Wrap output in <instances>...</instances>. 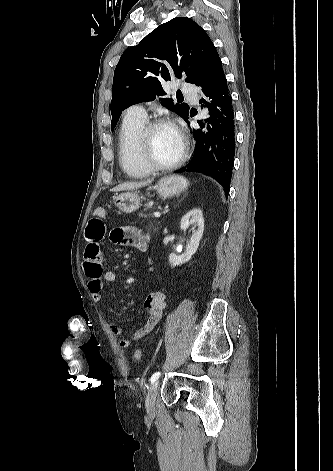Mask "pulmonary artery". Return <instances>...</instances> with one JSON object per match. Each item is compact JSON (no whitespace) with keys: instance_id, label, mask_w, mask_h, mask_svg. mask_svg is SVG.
Returning <instances> with one entry per match:
<instances>
[{"instance_id":"e3ab8cb5","label":"pulmonary artery","mask_w":333,"mask_h":471,"mask_svg":"<svg viewBox=\"0 0 333 471\" xmlns=\"http://www.w3.org/2000/svg\"><path fill=\"white\" fill-rule=\"evenodd\" d=\"M181 91L185 95L190 97L193 101L197 100V95H196L195 89L190 84L182 83L181 84ZM126 114L131 115V116L140 117V118H146V116H147L145 109L141 105H133V106L129 107L126 111Z\"/></svg>"}]
</instances>
